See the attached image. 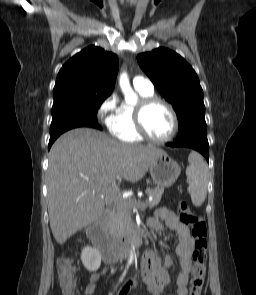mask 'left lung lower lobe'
<instances>
[{"instance_id": "0a47b994", "label": "left lung lower lobe", "mask_w": 256, "mask_h": 295, "mask_svg": "<svg viewBox=\"0 0 256 295\" xmlns=\"http://www.w3.org/2000/svg\"><path fill=\"white\" fill-rule=\"evenodd\" d=\"M166 145L170 147H188L201 153L206 160L209 158V144L207 137H189L182 140H176L173 143H167Z\"/></svg>"}]
</instances>
